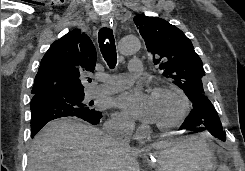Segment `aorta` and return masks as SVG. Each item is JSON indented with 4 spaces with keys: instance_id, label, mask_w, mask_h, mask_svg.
Masks as SVG:
<instances>
[{
    "instance_id": "obj_1",
    "label": "aorta",
    "mask_w": 245,
    "mask_h": 171,
    "mask_svg": "<svg viewBox=\"0 0 245 171\" xmlns=\"http://www.w3.org/2000/svg\"><path fill=\"white\" fill-rule=\"evenodd\" d=\"M140 40L135 36H125L118 44L121 55L128 56L137 53L140 49Z\"/></svg>"
}]
</instances>
